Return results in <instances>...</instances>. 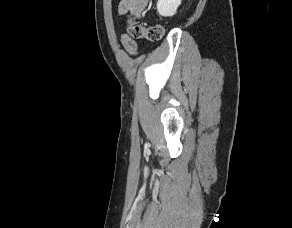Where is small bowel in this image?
<instances>
[{
  "label": "small bowel",
  "mask_w": 292,
  "mask_h": 228,
  "mask_svg": "<svg viewBox=\"0 0 292 228\" xmlns=\"http://www.w3.org/2000/svg\"><path fill=\"white\" fill-rule=\"evenodd\" d=\"M148 4V0H120L118 4V14L124 15L127 13L140 17ZM122 44L124 48L131 54L137 53V45L128 35H122Z\"/></svg>",
  "instance_id": "c3829d8e"
}]
</instances>
